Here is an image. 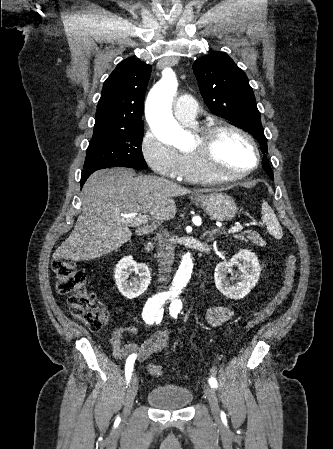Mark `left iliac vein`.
<instances>
[{"label": "left iliac vein", "mask_w": 333, "mask_h": 449, "mask_svg": "<svg viewBox=\"0 0 333 449\" xmlns=\"http://www.w3.org/2000/svg\"><path fill=\"white\" fill-rule=\"evenodd\" d=\"M203 389L209 401L212 415L215 418V420L218 421L220 418V409L215 390L209 384H204Z\"/></svg>", "instance_id": "4c4485c4"}]
</instances>
